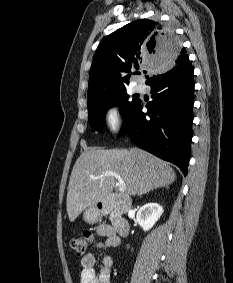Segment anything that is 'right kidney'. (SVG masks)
<instances>
[{
  "instance_id": "1",
  "label": "right kidney",
  "mask_w": 233,
  "mask_h": 283,
  "mask_svg": "<svg viewBox=\"0 0 233 283\" xmlns=\"http://www.w3.org/2000/svg\"><path fill=\"white\" fill-rule=\"evenodd\" d=\"M163 213V208L157 203H147L137 212V221L144 231L151 229Z\"/></svg>"
}]
</instances>
